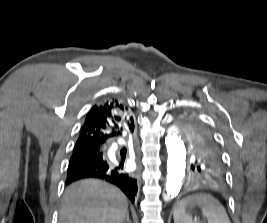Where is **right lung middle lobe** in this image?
<instances>
[{"label": "right lung middle lobe", "mask_w": 267, "mask_h": 223, "mask_svg": "<svg viewBox=\"0 0 267 223\" xmlns=\"http://www.w3.org/2000/svg\"><path fill=\"white\" fill-rule=\"evenodd\" d=\"M95 151L89 149V148H78L74 149V152L70 158V162L76 159H79L81 157H84L86 155L93 154Z\"/></svg>", "instance_id": "obj_1"}]
</instances>
